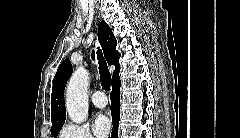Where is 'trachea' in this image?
Listing matches in <instances>:
<instances>
[{
	"label": "trachea",
	"instance_id": "obj_1",
	"mask_svg": "<svg viewBox=\"0 0 240 138\" xmlns=\"http://www.w3.org/2000/svg\"><path fill=\"white\" fill-rule=\"evenodd\" d=\"M98 60H99V74L101 86L105 91L110 90L111 84V74L108 70L107 63L103 57L101 50H98Z\"/></svg>",
	"mask_w": 240,
	"mask_h": 138
}]
</instances>
